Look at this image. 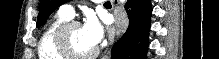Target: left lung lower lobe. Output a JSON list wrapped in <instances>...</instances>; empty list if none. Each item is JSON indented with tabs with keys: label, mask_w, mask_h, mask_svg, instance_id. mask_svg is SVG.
<instances>
[{
	"label": "left lung lower lobe",
	"mask_w": 219,
	"mask_h": 59,
	"mask_svg": "<svg viewBox=\"0 0 219 59\" xmlns=\"http://www.w3.org/2000/svg\"><path fill=\"white\" fill-rule=\"evenodd\" d=\"M125 9L129 26L114 44L111 59H146L151 26V0H128Z\"/></svg>",
	"instance_id": "1"
}]
</instances>
